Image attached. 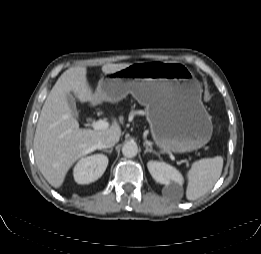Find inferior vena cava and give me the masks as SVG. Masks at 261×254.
Segmentation results:
<instances>
[{
  "mask_svg": "<svg viewBox=\"0 0 261 254\" xmlns=\"http://www.w3.org/2000/svg\"><path fill=\"white\" fill-rule=\"evenodd\" d=\"M118 141H119V136L116 134H111V135L104 136L100 140L98 146L100 148H110L113 147Z\"/></svg>",
  "mask_w": 261,
  "mask_h": 254,
  "instance_id": "obj_1",
  "label": "inferior vena cava"
}]
</instances>
